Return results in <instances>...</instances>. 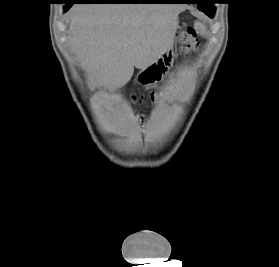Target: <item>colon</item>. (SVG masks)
Here are the masks:
<instances>
[{"mask_svg":"<svg viewBox=\"0 0 279 267\" xmlns=\"http://www.w3.org/2000/svg\"><path fill=\"white\" fill-rule=\"evenodd\" d=\"M179 44L180 54L184 57H187L197 51L199 47L198 37L195 30L191 26L185 27L179 33Z\"/></svg>","mask_w":279,"mask_h":267,"instance_id":"colon-1","label":"colon"}]
</instances>
